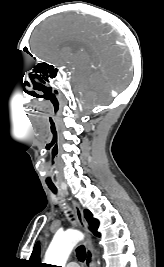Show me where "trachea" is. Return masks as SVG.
I'll return each instance as SVG.
<instances>
[{"label": "trachea", "instance_id": "3493384b", "mask_svg": "<svg viewBox=\"0 0 164 267\" xmlns=\"http://www.w3.org/2000/svg\"><path fill=\"white\" fill-rule=\"evenodd\" d=\"M49 188L53 193H55V194L57 193V189L55 187L50 186ZM76 254H77V258L79 259V261H81V262L85 261L86 251H85V247L83 245L79 246L76 249Z\"/></svg>", "mask_w": 164, "mask_h": 267}]
</instances>
